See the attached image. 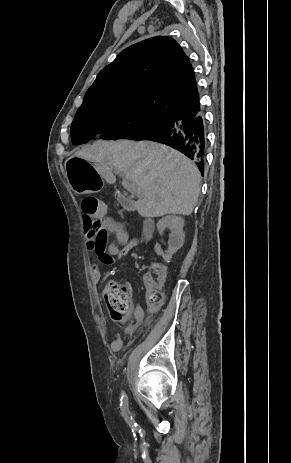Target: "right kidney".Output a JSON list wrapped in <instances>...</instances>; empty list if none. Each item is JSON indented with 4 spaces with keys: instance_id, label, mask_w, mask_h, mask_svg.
<instances>
[{
    "instance_id": "obj_1",
    "label": "right kidney",
    "mask_w": 291,
    "mask_h": 463,
    "mask_svg": "<svg viewBox=\"0 0 291 463\" xmlns=\"http://www.w3.org/2000/svg\"><path fill=\"white\" fill-rule=\"evenodd\" d=\"M184 219L177 216H165L157 223V229L160 235H163L166 228L170 229L168 240V250L164 253L159 244L155 245L157 253L163 256L164 260H169L172 255L183 246L185 234L183 231Z\"/></svg>"
}]
</instances>
